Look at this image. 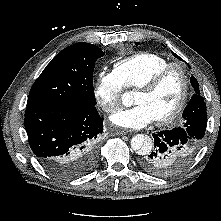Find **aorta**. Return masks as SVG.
<instances>
[{"instance_id": "aorta-1", "label": "aorta", "mask_w": 221, "mask_h": 221, "mask_svg": "<svg viewBox=\"0 0 221 221\" xmlns=\"http://www.w3.org/2000/svg\"><path fill=\"white\" fill-rule=\"evenodd\" d=\"M123 101L125 104H130V96L128 94H124ZM131 147L139 155H145L152 149V140L148 136L137 134L131 139Z\"/></svg>"}]
</instances>
